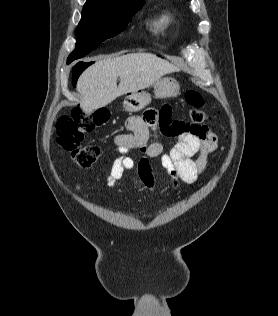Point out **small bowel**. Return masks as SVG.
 Returning a JSON list of instances; mask_svg holds the SVG:
<instances>
[{"label": "small bowel", "instance_id": "c3829d8e", "mask_svg": "<svg viewBox=\"0 0 278 316\" xmlns=\"http://www.w3.org/2000/svg\"><path fill=\"white\" fill-rule=\"evenodd\" d=\"M178 121L171 120V109L164 105L159 111L148 109L142 116H130L125 121L129 133L115 137V151L118 157L108 175V184L114 187L129 171L132 183L141 190L152 191L156 185L150 160L159 159L162 168L170 177L174 189L181 183L192 184L206 170L208 155L217 150L216 135L205 127L201 132L170 131ZM162 133L177 137L176 144L165 151L158 140H151L152 134ZM142 153L138 160L128 155L129 151Z\"/></svg>", "mask_w": 278, "mask_h": 316}]
</instances>
